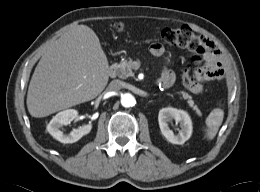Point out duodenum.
<instances>
[{
	"label": "duodenum",
	"instance_id": "duodenum-1",
	"mask_svg": "<svg viewBox=\"0 0 260 192\" xmlns=\"http://www.w3.org/2000/svg\"><path fill=\"white\" fill-rule=\"evenodd\" d=\"M108 72H109L110 76H114L115 72H116V69L114 67H110ZM157 84L160 85V81L159 80L157 81Z\"/></svg>",
	"mask_w": 260,
	"mask_h": 192
}]
</instances>
